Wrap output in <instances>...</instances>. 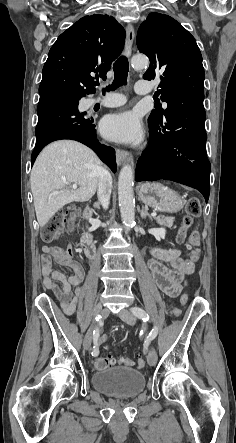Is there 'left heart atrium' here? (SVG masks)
<instances>
[{
	"mask_svg": "<svg viewBox=\"0 0 236 443\" xmlns=\"http://www.w3.org/2000/svg\"><path fill=\"white\" fill-rule=\"evenodd\" d=\"M106 137L122 143H137L143 137L142 123L132 111H125L108 116L103 123Z\"/></svg>",
	"mask_w": 236,
	"mask_h": 443,
	"instance_id": "39dd6f15",
	"label": "left heart atrium"
}]
</instances>
